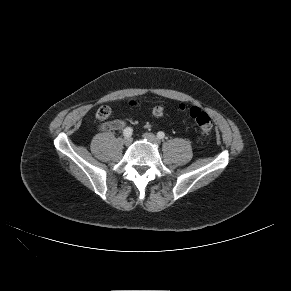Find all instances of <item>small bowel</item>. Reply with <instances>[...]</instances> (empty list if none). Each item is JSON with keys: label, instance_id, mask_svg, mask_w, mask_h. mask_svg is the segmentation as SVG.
Segmentation results:
<instances>
[{"label": "small bowel", "instance_id": "small-bowel-1", "mask_svg": "<svg viewBox=\"0 0 291 291\" xmlns=\"http://www.w3.org/2000/svg\"><path fill=\"white\" fill-rule=\"evenodd\" d=\"M125 121L121 119H115L109 122V130H120L125 126Z\"/></svg>", "mask_w": 291, "mask_h": 291}]
</instances>
